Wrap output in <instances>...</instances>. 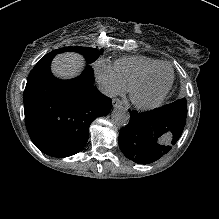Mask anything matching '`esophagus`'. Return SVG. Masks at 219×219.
<instances>
[{
  "instance_id": "34e87169",
  "label": "esophagus",
  "mask_w": 219,
  "mask_h": 219,
  "mask_svg": "<svg viewBox=\"0 0 219 219\" xmlns=\"http://www.w3.org/2000/svg\"><path fill=\"white\" fill-rule=\"evenodd\" d=\"M121 104H122V102H121L120 99H118V98L112 99V106H113V107L119 106V105H121Z\"/></svg>"
}]
</instances>
